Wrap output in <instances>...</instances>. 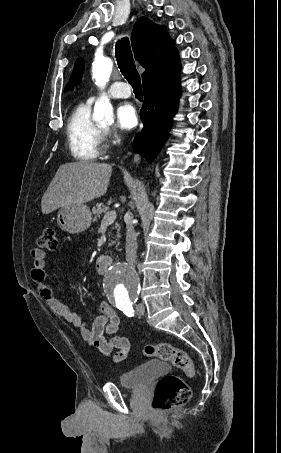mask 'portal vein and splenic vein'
<instances>
[{
	"instance_id": "portal-vein-and-splenic-vein-1",
	"label": "portal vein and splenic vein",
	"mask_w": 281,
	"mask_h": 453,
	"mask_svg": "<svg viewBox=\"0 0 281 453\" xmlns=\"http://www.w3.org/2000/svg\"><path fill=\"white\" fill-rule=\"evenodd\" d=\"M116 216V210H109V212L104 214L102 222H114Z\"/></svg>"
}]
</instances>
